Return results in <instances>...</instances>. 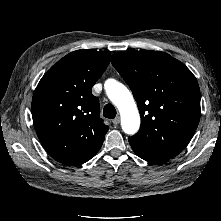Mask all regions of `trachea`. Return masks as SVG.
I'll use <instances>...</instances> for the list:
<instances>
[{
  "instance_id": "1",
  "label": "trachea",
  "mask_w": 221,
  "mask_h": 221,
  "mask_svg": "<svg viewBox=\"0 0 221 221\" xmlns=\"http://www.w3.org/2000/svg\"><path fill=\"white\" fill-rule=\"evenodd\" d=\"M103 116L109 119H113L116 116V109L112 104H106L103 109Z\"/></svg>"
}]
</instances>
